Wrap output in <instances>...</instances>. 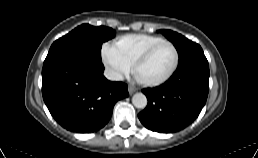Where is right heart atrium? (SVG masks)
Wrapping results in <instances>:
<instances>
[{
  "mask_svg": "<svg viewBox=\"0 0 258 158\" xmlns=\"http://www.w3.org/2000/svg\"><path fill=\"white\" fill-rule=\"evenodd\" d=\"M105 59L109 66L118 71L125 72L128 70L126 62L119 56L114 47L107 51Z\"/></svg>",
  "mask_w": 258,
  "mask_h": 158,
  "instance_id": "1",
  "label": "right heart atrium"
}]
</instances>
